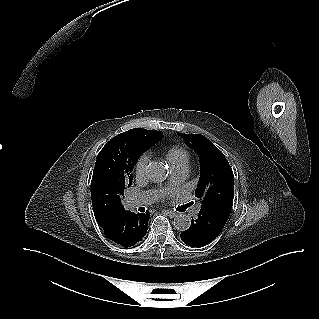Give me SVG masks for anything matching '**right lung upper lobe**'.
<instances>
[{
  "label": "right lung upper lobe",
  "mask_w": 319,
  "mask_h": 319,
  "mask_svg": "<svg viewBox=\"0 0 319 319\" xmlns=\"http://www.w3.org/2000/svg\"><path fill=\"white\" fill-rule=\"evenodd\" d=\"M162 137L163 135L160 131L135 128L123 132L115 136L114 138L124 141L125 143L132 146L134 149L138 150L143 154L147 149L153 146ZM117 209L120 208L94 212L97 223L101 224L114 210Z\"/></svg>",
  "instance_id": "obj_1"
}]
</instances>
